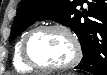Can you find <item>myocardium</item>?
Returning a JSON list of instances; mask_svg holds the SVG:
<instances>
[{
    "label": "myocardium",
    "instance_id": "obj_1",
    "mask_svg": "<svg viewBox=\"0 0 107 75\" xmlns=\"http://www.w3.org/2000/svg\"><path fill=\"white\" fill-rule=\"evenodd\" d=\"M43 31H58L64 34L70 40L73 47V57L68 63L57 66H49L39 64L31 58L28 53V44L34 35ZM21 56L23 61L33 69L41 71H62L73 68L78 64L82 57V47L78 37L68 27L56 23L45 24L33 28L25 35L21 45Z\"/></svg>",
    "mask_w": 107,
    "mask_h": 75
}]
</instances>
